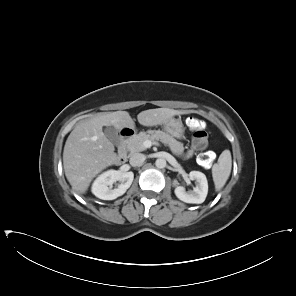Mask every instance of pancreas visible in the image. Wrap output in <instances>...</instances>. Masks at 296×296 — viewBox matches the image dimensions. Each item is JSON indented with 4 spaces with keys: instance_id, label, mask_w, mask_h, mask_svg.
Wrapping results in <instances>:
<instances>
[{
    "instance_id": "cf45deb5",
    "label": "pancreas",
    "mask_w": 296,
    "mask_h": 296,
    "mask_svg": "<svg viewBox=\"0 0 296 296\" xmlns=\"http://www.w3.org/2000/svg\"><path fill=\"white\" fill-rule=\"evenodd\" d=\"M146 140L159 141L163 143L165 146L169 147V149L174 155L178 157L183 155V143L177 141L165 132L154 130H150L148 132H140L138 135L134 136L130 143L133 151H143L145 148L142 146V144Z\"/></svg>"
}]
</instances>
